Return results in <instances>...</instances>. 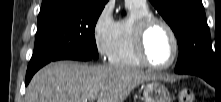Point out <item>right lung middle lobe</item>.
I'll list each match as a JSON object with an SVG mask.
<instances>
[{"mask_svg": "<svg viewBox=\"0 0 221 102\" xmlns=\"http://www.w3.org/2000/svg\"><path fill=\"white\" fill-rule=\"evenodd\" d=\"M103 8L77 1L41 9L34 52L27 71L59 60L66 54L97 59L94 30Z\"/></svg>", "mask_w": 221, "mask_h": 102, "instance_id": "dd1d6c3e", "label": "right lung middle lobe"}]
</instances>
